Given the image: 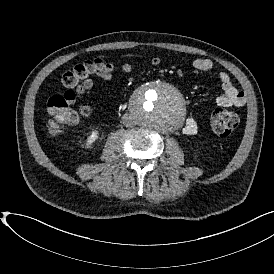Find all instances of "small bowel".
<instances>
[{"instance_id": "obj_1", "label": "small bowel", "mask_w": 274, "mask_h": 274, "mask_svg": "<svg viewBox=\"0 0 274 274\" xmlns=\"http://www.w3.org/2000/svg\"><path fill=\"white\" fill-rule=\"evenodd\" d=\"M162 62L160 56H154L150 58L146 65L158 66ZM193 67L201 72L209 73L214 69V63L208 58H197L192 63ZM137 65L129 62H123L119 65L103 64L98 71L94 72V75L103 79L104 81H112L116 72L129 74L137 69ZM218 79L221 83L224 94L217 97L215 103L217 106L229 108V107H242L246 103V94L241 89L237 88L231 77L226 72H219ZM91 85V81L87 80L84 83V88ZM198 131V123L195 118L189 117L186 119L183 133L189 136L195 135Z\"/></svg>"}]
</instances>
